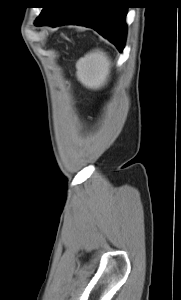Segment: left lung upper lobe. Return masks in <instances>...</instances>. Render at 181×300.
<instances>
[{"mask_svg": "<svg viewBox=\"0 0 181 300\" xmlns=\"http://www.w3.org/2000/svg\"><path fill=\"white\" fill-rule=\"evenodd\" d=\"M55 2V0H50L49 1V5L46 7H43V10L41 12V14L39 15V17L37 18L35 25L37 26L39 21L41 20V18L46 14V12L49 10L50 6Z\"/></svg>", "mask_w": 181, "mask_h": 300, "instance_id": "1", "label": "left lung upper lobe"}]
</instances>
